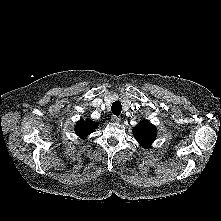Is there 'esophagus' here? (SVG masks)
Segmentation results:
<instances>
[{"instance_id": "obj_1", "label": "esophagus", "mask_w": 221, "mask_h": 221, "mask_svg": "<svg viewBox=\"0 0 221 221\" xmlns=\"http://www.w3.org/2000/svg\"><path fill=\"white\" fill-rule=\"evenodd\" d=\"M111 121L114 123H119V122H121V118L118 116H112Z\"/></svg>"}]
</instances>
